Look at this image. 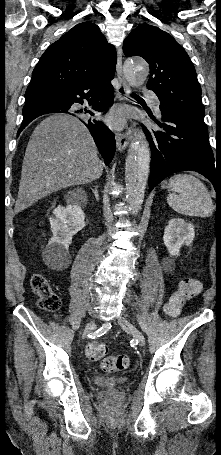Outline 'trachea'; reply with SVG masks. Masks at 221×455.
Returning a JSON list of instances; mask_svg holds the SVG:
<instances>
[{"label": "trachea", "mask_w": 221, "mask_h": 455, "mask_svg": "<svg viewBox=\"0 0 221 455\" xmlns=\"http://www.w3.org/2000/svg\"><path fill=\"white\" fill-rule=\"evenodd\" d=\"M132 96H133V97L140 98L138 95H136V94H134V93L132 94Z\"/></svg>", "instance_id": "obj_1"}]
</instances>
